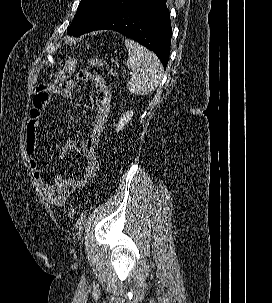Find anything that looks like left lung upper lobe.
Returning a JSON list of instances; mask_svg holds the SVG:
<instances>
[{"instance_id": "5c2ea615", "label": "left lung upper lobe", "mask_w": 272, "mask_h": 303, "mask_svg": "<svg viewBox=\"0 0 272 303\" xmlns=\"http://www.w3.org/2000/svg\"><path fill=\"white\" fill-rule=\"evenodd\" d=\"M141 0H81L68 33L74 37L90 32L107 19Z\"/></svg>"}]
</instances>
